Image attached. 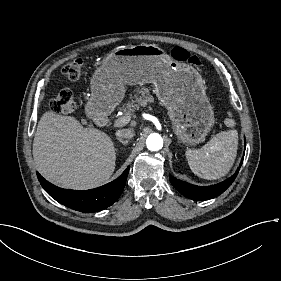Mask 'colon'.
I'll use <instances>...</instances> for the list:
<instances>
[{
    "label": "colon",
    "mask_w": 281,
    "mask_h": 281,
    "mask_svg": "<svg viewBox=\"0 0 281 281\" xmlns=\"http://www.w3.org/2000/svg\"><path fill=\"white\" fill-rule=\"evenodd\" d=\"M171 55L178 61L187 62L195 66L201 64V60L197 56L182 47H175ZM83 68L84 60L82 58H76L62 68V74L69 80H77L82 76ZM74 108L75 101L73 94L66 90L60 91L50 103V109L53 114H68L73 112Z\"/></svg>",
    "instance_id": "colon-1"
}]
</instances>
